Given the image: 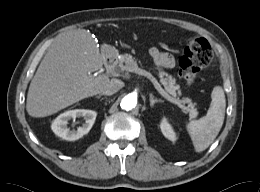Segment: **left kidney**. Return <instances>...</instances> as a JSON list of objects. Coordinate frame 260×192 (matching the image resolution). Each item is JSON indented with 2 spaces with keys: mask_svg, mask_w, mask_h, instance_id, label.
Here are the masks:
<instances>
[{
  "mask_svg": "<svg viewBox=\"0 0 260 192\" xmlns=\"http://www.w3.org/2000/svg\"><path fill=\"white\" fill-rule=\"evenodd\" d=\"M160 128L163 135L171 141H176V133L174 132L172 126L169 124L166 118H163L160 123Z\"/></svg>",
  "mask_w": 260,
  "mask_h": 192,
  "instance_id": "1",
  "label": "left kidney"
}]
</instances>
